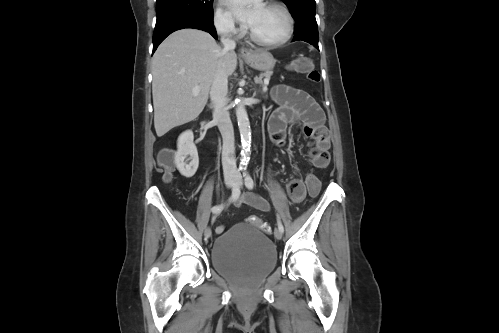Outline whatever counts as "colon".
I'll list each match as a JSON object with an SVG mask.
<instances>
[{
  "label": "colon",
  "instance_id": "obj_1",
  "mask_svg": "<svg viewBox=\"0 0 499 333\" xmlns=\"http://www.w3.org/2000/svg\"><path fill=\"white\" fill-rule=\"evenodd\" d=\"M292 68L299 73L305 74L307 78L317 83L320 81V74L314 68L312 61L307 57H302L295 60L292 64ZM160 166L164 172V180L166 182L171 181L174 172V154L171 150H164L159 157ZM304 185L311 197H316L321 189V182L319 178L312 172L308 173L304 179ZM247 221L258 227L260 230L270 233V227L262 222L256 216H249Z\"/></svg>",
  "mask_w": 499,
  "mask_h": 333
}]
</instances>
